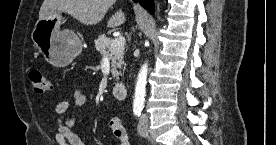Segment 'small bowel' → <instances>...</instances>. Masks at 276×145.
Here are the masks:
<instances>
[{
  "label": "small bowel",
  "instance_id": "small-bowel-1",
  "mask_svg": "<svg viewBox=\"0 0 276 145\" xmlns=\"http://www.w3.org/2000/svg\"><path fill=\"white\" fill-rule=\"evenodd\" d=\"M74 104L77 107L83 106L87 101V94L82 89H75L72 93ZM70 103L66 100L60 101L55 107L57 116V129L55 139L59 145H84L81 138L72 131L77 122V116L67 117ZM109 127L112 130L119 145H131L128 133L119 117L114 116L109 120Z\"/></svg>",
  "mask_w": 276,
  "mask_h": 145
}]
</instances>
